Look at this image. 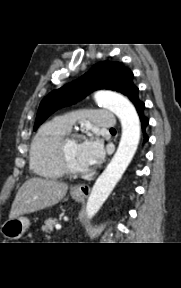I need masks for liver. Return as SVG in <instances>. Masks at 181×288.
<instances>
[{
	"instance_id": "1",
	"label": "liver",
	"mask_w": 181,
	"mask_h": 288,
	"mask_svg": "<svg viewBox=\"0 0 181 288\" xmlns=\"http://www.w3.org/2000/svg\"><path fill=\"white\" fill-rule=\"evenodd\" d=\"M67 190L68 185L66 183L32 177L26 180L18 190L12 203L9 218L54 206L65 197Z\"/></svg>"
}]
</instances>
